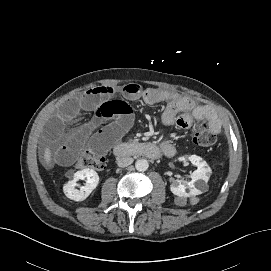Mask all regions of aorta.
Segmentation results:
<instances>
[{
    "mask_svg": "<svg viewBox=\"0 0 271 271\" xmlns=\"http://www.w3.org/2000/svg\"><path fill=\"white\" fill-rule=\"evenodd\" d=\"M149 167V163L146 159L142 158V159H138L135 163V168L137 171L139 172H144L148 169Z\"/></svg>",
    "mask_w": 271,
    "mask_h": 271,
    "instance_id": "1",
    "label": "aorta"
}]
</instances>
